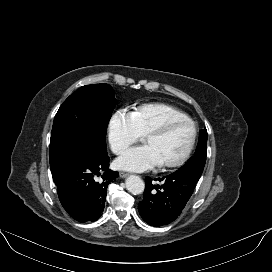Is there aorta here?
I'll return each instance as SVG.
<instances>
[{"label": "aorta", "instance_id": "1", "mask_svg": "<svg viewBox=\"0 0 272 272\" xmlns=\"http://www.w3.org/2000/svg\"><path fill=\"white\" fill-rule=\"evenodd\" d=\"M125 184L126 189L134 195L143 193L145 188L144 181L139 176L136 175H130L126 179Z\"/></svg>", "mask_w": 272, "mask_h": 272}]
</instances>
